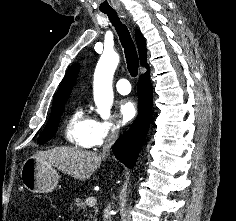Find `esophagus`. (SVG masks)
Masks as SVG:
<instances>
[{
	"mask_svg": "<svg viewBox=\"0 0 236 221\" xmlns=\"http://www.w3.org/2000/svg\"><path fill=\"white\" fill-rule=\"evenodd\" d=\"M121 14L123 15V17H126V14L123 11H121Z\"/></svg>",
	"mask_w": 236,
	"mask_h": 221,
	"instance_id": "1",
	"label": "esophagus"
}]
</instances>
